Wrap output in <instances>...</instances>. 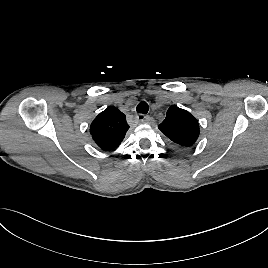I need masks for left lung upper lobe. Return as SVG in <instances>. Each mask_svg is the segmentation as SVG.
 <instances>
[{
    "label": "left lung upper lobe",
    "mask_w": 268,
    "mask_h": 268,
    "mask_svg": "<svg viewBox=\"0 0 268 268\" xmlns=\"http://www.w3.org/2000/svg\"><path fill=\"white\" fill-rule=\"evenodd\" d=\"M160 131L180 147H192L199 137V123L188 111L171 106L165 120L158 126Z\"/></svg>",
    "instance_id": "1"
}]
</instances>
